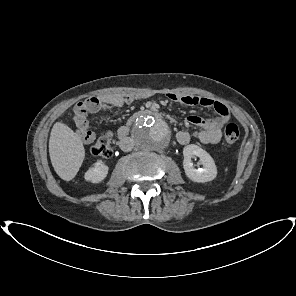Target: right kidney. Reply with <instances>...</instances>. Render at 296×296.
I'll return each instance as SVG.
<instances>
[{
    "label": "right kidney",
    "mask_w": 296,
    "mask_h": 296,
    "mask_svg": "<svg viewBox=\"0 0 296 296\" xmlns=\"http://www.w3.org/2000/svg\"><path fill=\"white\" fill-rule=\"evenodd\" d=\"M108 166L101 160L97 161L92 168L85 173V180L91 183H99L103 181L108 174Z\"/></svg>",
    "instance_id": "ca27d5eb"
}]
</instances>
